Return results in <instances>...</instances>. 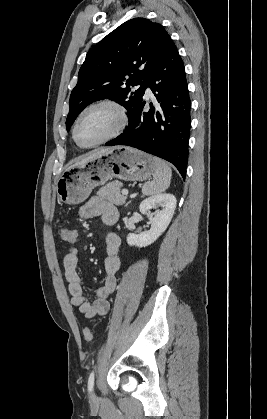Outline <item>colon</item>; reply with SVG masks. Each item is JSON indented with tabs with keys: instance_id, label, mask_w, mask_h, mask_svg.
Masks as SVG:
<instances>
[{
	"instance_id": "obj_1",
	"label": "colon",
	"mask_w": 267,
	"mask_h": 419,
	"mask_svg": "<svg viewBox=\"0 0 267 419\" xmlns=\"http://www.w3.org/2000/svg\"><path fill=\"white\" fill-rule=\"evenodd\" d=\"M61 238L64 242L68 243V244H74L76 242L77 239V235L76 232L70 228L67 227H62L61 228ZM83 337L86 341H90L93 337V332L91 330V328L89 327H85L83 329Z\"/></svg>"
}]
</instances>
